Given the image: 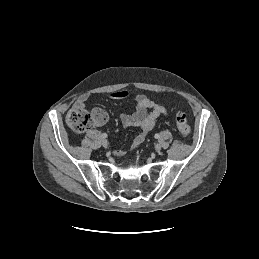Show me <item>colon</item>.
<instances>
[{
  "mask_svg": "<svg viewBox=\"0 0 259 259\" xmlns=\"http://www.w3.org/2000/svg\"><path fill=\"white\" fill-rule=\"evenodd\" d=\"M66 122L75 133L80 134L91 128L94 118L84 107L75 105L67 113ZM176 126L182 136H187L191 132L186 115L182 112L176 113Z\"/></svg>",
  "mask_w": 259,
  "mask_h": 259,
  "instance_id": "5ec220e1",
  "label": "colon"
}]
</instances>
